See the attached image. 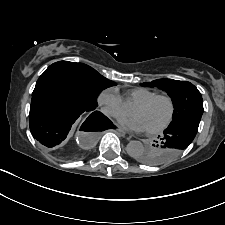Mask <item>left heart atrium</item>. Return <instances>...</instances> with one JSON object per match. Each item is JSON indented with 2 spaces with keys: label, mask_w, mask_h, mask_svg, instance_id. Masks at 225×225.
<instances>
[{
  "label": "left heart atrium",
  "mask_w": 225,
  "mask_h": 225,
  "mask_svg": "<svg viewBox=\"0 0 225 225\" xmlns=\"http://www.w3.org/2000/svg\"><path fill=\"white\" fill-rule=\"evenodd\" d=\"M120 123L127 129L142 132L145 131V125L142 120L137 116H124L120 118Z\"/></svg>",
  "instance_id": "1"
}]
</instances>
